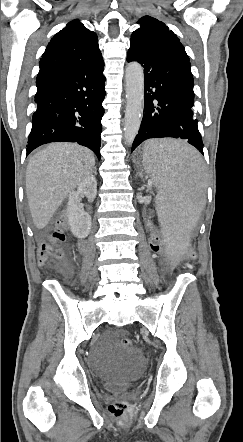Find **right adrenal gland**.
<instances>
[{
	"label": "right adrenal gland",
	"mask_w": 243,
	"mask_h": 442,
	"mask_svg": "<svg viewBox=\"0 0 243 442\" xmlns=\"http://www.w3.org/2000/svg\"><path fill=\"white\" fill-rule=\"evenodd\" d=\"M93 172L96 174V169L94 168Z\"/></svg>",
	"instance_id": "1"
}]
</instances>
